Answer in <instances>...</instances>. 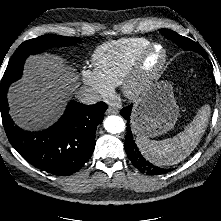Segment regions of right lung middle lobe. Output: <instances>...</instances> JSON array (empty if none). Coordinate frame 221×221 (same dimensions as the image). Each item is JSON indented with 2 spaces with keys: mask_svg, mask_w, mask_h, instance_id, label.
<instances>
[{
  "mask_svg": "<svg viewBox=\"0 0 221 221\" xmlns=\"http://www.w3.org/2000/svg\"><path fill=\"white\" fill-rule=\"evenodd\" d=\"M78 37H64L60 35H44L22 43L11 57L3 75L1 86L10 85L22 76L25 59L50 47L70 46L78 43Z\"/></svg>",
  "mask_w": 221,
  "mask_h": 221,
  "instance_id": "1",
  "label": "right lung middle lobe"
}]
</instances>
